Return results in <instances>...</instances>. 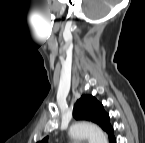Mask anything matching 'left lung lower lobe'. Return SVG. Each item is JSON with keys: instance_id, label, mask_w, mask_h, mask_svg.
<instances>
[{"instance_id": "1", "label": "left lung lower lobe", "mask_w": 145, "mask_h": 143, "mask_svg": "<svg viewBox=\"0 0 145 143\" xmlns=\"http://www.w3.org/2000/svg\"><path fill=\"white\" fill-rule=\"evenodd\" d=\"M109 140H110V143H116L115 137H112V138H110Z\"/></svg>"}]
</instances>
